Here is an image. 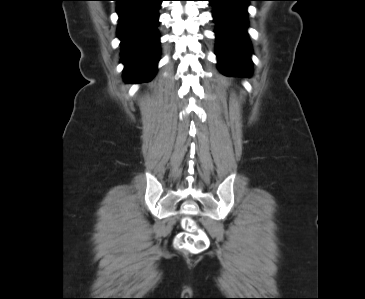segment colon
Masks as SVG:
<instances>
[{
    "label": "colon",
    "instance_id": "obj_1",
    "mask_svg": "<svg viewBox=\"0 0 365 299\" xmlns=\"http://www.w3.org/2000/svg\"><path fill=\"white\" fill-rule=\"evenodd\" d=\"M184 232L175 239L177 249L183 252L200 253L204 251L210 243L208 235L190 217L182 220Z\"/></svg>",
    "mask_w": 365,
    "mask_h": 299
}]
</instances>
